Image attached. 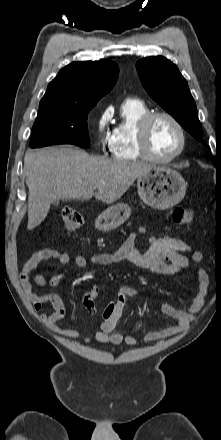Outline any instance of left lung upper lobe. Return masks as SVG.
I'll list each match as a JSON object with an SVG mask.
<instances>
[{
    "label": "left lung upper lobe",
    "mask_w": 221,
    "mask_h": 440,
    "mask_svg": "<svg viewBox=\"0 0 221 440\" xmlns=\"http://www.w3.org/2000/svg\"><path fill=\"white\" fill-rule=\"evenodd\" d=\"M136 69L147 93L207 147L195 101L177 66L165 57L157 56L139 60Z\"/></svg>",
    "instance_id": "1"
}]
</instances>
